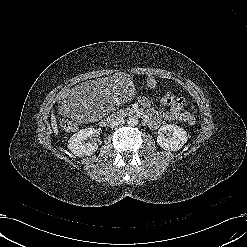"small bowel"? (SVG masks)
Returning a JSON list of instances; mask_svg holds the SVG:
<instances>
[{
	"mask_svg": "<svg viewBox=\"0 0 247 247\" xmlns=\"http://www.w3.org/2000/svg\"><path fill=\"white\" fill-rule=\"evenodd\" d=\"M155 84L156 81L154 78L148 79L149 86L154 87ZM142 103L146 107L150 106V103L146 99H143ZM184 104L185 103L182 99H177L173 95V99L171 100V104L169 105V110L163 111L162 116L168 120L185 122L190 113L182 110ZM146 122L150 127H156L159 125V120L154 115H148L146 117Z\"/></svg>",
	"mask_w": 247,
	"mask_h": 247,
	"instance_id": "1",
	"label": "small bowel"
}]
</instances>
